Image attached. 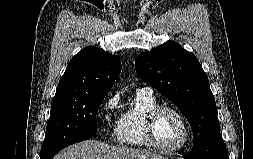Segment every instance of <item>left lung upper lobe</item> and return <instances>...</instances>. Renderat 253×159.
I'll return each mask as SVG.
<instances>
[{
  "label": "left lung upper lobe",
  "mask_w": 253,
  "mask_h": 159,
  "mask_svg": "<svg viewBox=\"0 0 253 159\" xmlns=\"http://www.w3.org/2000/svg\"><path fill=\"white\" fill-rule=\"evenodd\" d=\"M138 76L171 100L193 130L192 154L210 157L223 143L207 74L194 54L176 42L165 43L135 60Z\"/></svg>",
  "instance_id": "1"
}]
</instances>
